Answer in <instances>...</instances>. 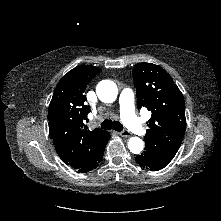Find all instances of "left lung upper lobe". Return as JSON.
Instances as JSON below:
<instances>
[{
  "instance_id": "left-lung-upper-lobe-1",
  "label": "left lung upper lobe",
  "mask_w": 221,
  "mask_h": 221,
  "mask_svg": "<svg viewBox=\"0 0 221 221\" xmlns=\"http://www.w3.org/2000/svg\"><path fill=\"white\" fill-rule=\"evenodd\" d=\"M139 109L152 112L144 137L145 150L170 162L176 155L186 129L185 101L170 75L152 63H138L133 68Z\"/></svg>"
}]
</instances>
